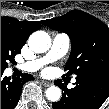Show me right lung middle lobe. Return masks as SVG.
<instances>
[{
  "label": "right lung middle lobe",
  "instance_id": "dd1d6c3e",
  "mask_svg": "<svg viewBox=\"0 0 109 109\" xmlns=\"http://www.w3.org/2000/svg\"><path fill=\"white\" fill-rule=\"evenodd\" d=\"M21 51L20 47L15 46L9 40L1 37V71H4L8 62H13L16 54Z\"/></svg>",
  "mask_w": 109,
  "mask_h": 109
}]
</instances>
